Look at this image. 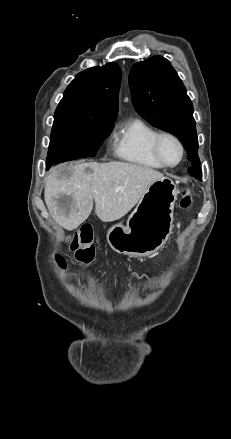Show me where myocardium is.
<instances>
[{"instance_id": "myocardium-1", "label": "myocardium", "mask_w": 231, "mask_h": 439, "mask_svg": "<svg viewBox=\"0 0 231 439\" xmlns=\"http://www.w3.org/2000/svg\"><path fill=\"white\" fill-rule=\"evenodd\" d=\"M171 138L172 140H174L177 145L179 146L180 149V158L178 160L177 163L175 164H169L162 156L161 154V149H160V144L163 138ZM152 152L154 157L157 159V161L163 165L166 168H174L177 167L178 165H180L184 159L185 156V147L183 142L181 141V139L175 135L172 132H168V131H163V132H158L156 134V136L154 137L153 141H152Z\"/></svg>"}]
</instances>
